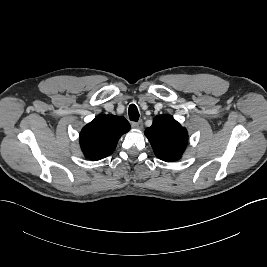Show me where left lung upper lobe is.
<instances>
[{
    "instance_id": "5c2ea615",
    "label": "left lung upper lobe",
    "mask_w": 267,
    "mask_h": 267,
    "mask_svg": "<svg viewBox=\"0 0 267 267\" xmlns=\"http://www.w3.org/2000/svg\"><path fill=\"white\" fill-rule=\"evenodd\" d=\"M144 133L155 155L166 162L179 160L188 144L187 130L169 115L156 116Z\"/></svg>"
}]
</instances>
